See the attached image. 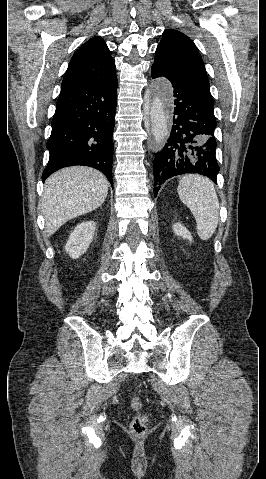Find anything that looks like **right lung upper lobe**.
Masks as SVG:
<instances>
[{
  "mask_svg": "<svg viewBox=\"0 0 266 479\" xmlns=\"http://www.w3.org/2000/svg\"><path fill=\"white\" fill-rule=\"evenodd\" d=\"M114 76L115 62L105 41L96 36L84 43L71 58L61 89L99 83Z\"/></svg>",
  "mask_w": 266,
  "mask_h": 479,
  "instance_id": "right-lung-upper-lobe-1",
  "label": "right lung upper lobe"
}]
</instances>
